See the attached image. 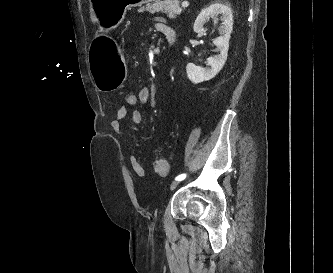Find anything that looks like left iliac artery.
Returning <instances> with one entry per match:
<instances>
[{
  "mask_svg": "<svg viewBox=\"0 0 333 273\" xmlns=\"http://www.w3.org/2000/svg\"><path fill=\"white\" fill-rule=\"evenodd\" d=\"M185 178H186V174L184 173V174H180V175H178V176L175 178V180L182 181V180H184Z\"/></svg>",
  "mask_w": 333,
  "mask_h": 273,
  "instance_id": "1",
  "label": "left iliac artery"
}]
</instances>
